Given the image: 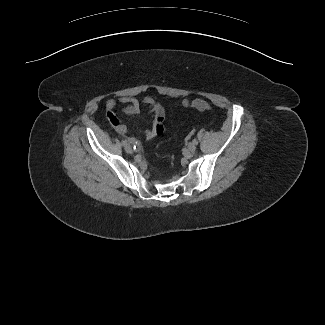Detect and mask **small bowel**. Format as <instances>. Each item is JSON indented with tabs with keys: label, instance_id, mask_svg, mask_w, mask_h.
Instances as JSON below:
<instances>
[{
	"label": "small bowel",
	"instance_id": "1",
	"mask_svg": "<svg viewBox=\"0 0 325 325\" xmlns=\"http://www.w3.org/2000/svg\"><path fill=\"white\" fill-rule=\"evenodd\" d=\"M141 105L147 107L152 116L153 121L151 127L146 131L145 138L152 139L153 137L160 135L164 131L163 121L165 118V109L164 107L157 103L153 98L146 97L142 101L134 97L122 96L118 99H109L106 101V107L108 109V118L111 121L112 125L120 134H127L128 130L126 126L120 121L117 115L114 113L119 107L125 108L129 114H139ZM131 142H134V138H129Z\"/></svg>",
	"mask_w": 325,
	"mask_h": 325
}]
</instances>
